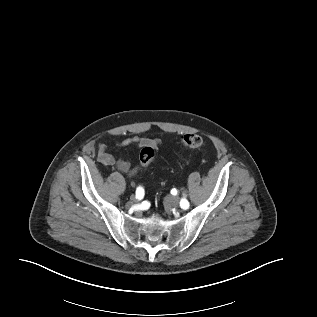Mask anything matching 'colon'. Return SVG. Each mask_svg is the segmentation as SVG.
Segmentation results:
<instances>
[{
    "label": "colon",
    "mask_w": 317,
    "mask_h": 317,
    "mask_svg": "<svg viewBox=\"0 0 317 317\" xmlns=\"http://www.w3.org/2000/svg\"><path fill=\"white\" fill-rule=\"evenodd\" d=\"M182 145L187 149H197L202 145V138L197 134H186L181 139ZM155 150L153 146L146 145L139 154L140 165L145 168L154 159Z\"/></svg>",
    "instance_id": "5ec220e1"
}]
</instances>
